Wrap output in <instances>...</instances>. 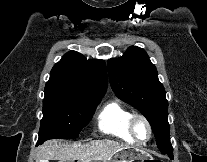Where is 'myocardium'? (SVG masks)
Segmentation results:
<instances>
[{
  "mask_svg": "<svg viewBox=\"0 0 207 162\" xmlns=\"http://www.w3.org/2000/svg\"><path fill=\"white\" fill-rule=\"evenodd\" d=\"M137 121L144 122V124L147 127L148 135H147L146 139H144V140H140L136 137L135 124ZM128 131H129V134H130L131 138L133 139V141L137 142V143H145V142L149 141L152 136L151 124H150L149 120L144 115H141V114H133L132 115V117L130 118V120L128 122Z\"/></svg>",
  "mask_w": 207,
  "mask_h": 162,
  "instance_id": "f54148a6",
  "label": "myocardium"
}]
</instances>
